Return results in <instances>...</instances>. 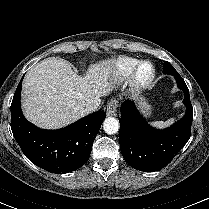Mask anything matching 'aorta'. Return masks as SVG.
<instances>
[{"mask_svg":"<svg viewBox=\"0 0 209 209\" xmlns=\"http://www.w3.org/2000/svg\"><path fill=\"white\" fill-rule=\"evenodd\" d=\"M103 129L107 134H116L119 131V121L114 117H108L103 122Z\"/></svg>","mask_w":209,"mask_h":209,"instance_id":"aorta-1","label":"aorta"}]
</instances>
